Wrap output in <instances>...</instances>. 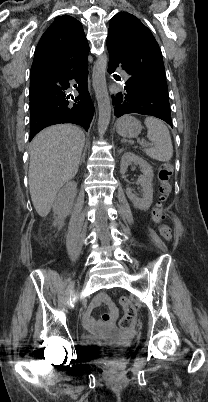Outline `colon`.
Returning <instances> with one entry per match:
<instances>
[{"label": "colon", "instance_id": "colon-1", "mask_svg": "<svg viewBox=\"0 0 208 402\" xmlns=\"http://www.w3.org/2000/svg\"><path fill=\"white\" fill-rule=\"evenodd\" d=\"M173 174L174 166L172 163L163 162L160 164L158 169V179L160 182L159 198L151 212L152 219L158 224L161 237L168 242L173 240L174 235L170 225L164 222V209L172 192L171 179ZM119 304L124 310L120 326L122 328L133 327L135 324L134 318L137 314L135 303L131 297H120Z\"/></svg>", "mask_w": 208, "mask_h": 402}]
</instances>
